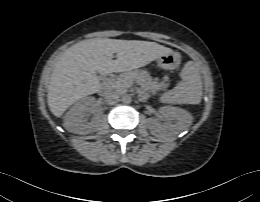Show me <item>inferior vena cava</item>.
I'll use <instances>...</instances> for the list:
<instances>
[{"instance_id":"1","label":"inferior vena cava","mask_w":260,"mask_h":202,"mask_svg":"<svg viewBox=\"0 0 260 202\" xmlns=\"http://www.w3.org/2000/svg\"><path fill=\"white\" fill-rule=\"evenodd\" d=\"M104 99L108 104H115L119 101V94L114 91L105 93Z\"/></svg>"}]
</instances>
